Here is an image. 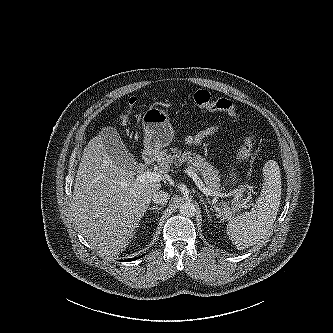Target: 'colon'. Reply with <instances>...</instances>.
I'll return each mask as SVG.
<instances>
[{
  "label": "colon",
  "instance_id": "5ec220e1",
  "mask_svg": "<svg viewBox=\"0 0 333 333\" xmlns=\"http://www.w3.org/2000/svg\"><path fill=\"white\" fill-rule=\"evenodd\" d=\"M192 99L194 104L202 109L209 111H219L227 113L230 116L236 117L238 114L232 102L226 98H216L206 90H197L193 93ZM253 153V136L247 134L241 142L239 148V159L248 161Z\"/></svg>",
  "mask_w": 333,
  "mask_h": 333
}]
</instances>
